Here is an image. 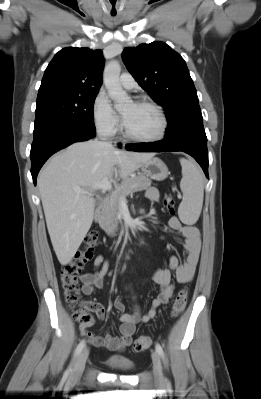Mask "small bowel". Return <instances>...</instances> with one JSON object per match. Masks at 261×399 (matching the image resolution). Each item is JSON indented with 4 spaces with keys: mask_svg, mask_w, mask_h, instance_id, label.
Here are the masks:
<instances>
[{
    "mask_svg": "<svg viewBox=\"0 0 261 399\" xmlns=\"http://www.w3.org/2000/svg\"><path fill=\"white\" fill-rule=\"evenodd\" d=\"M145 196L151 201L159 199L158 191L154 187L147 188ZM169 226L185 238L184 248L187 254L183 263H180L176 256H172L169 259L168 269H159L153 274L152 281L160 287V292L157 298L152 301L151 307L146 313H141L140 306L137 303H134L132 313H126L123 300L120 297L116 298L113 306L115 310L121 313L120 336H113L108 333L104 336H99L83 328L82 334L87 336L92 345L104 347L114 352L125 350L132 342L136 324L152 320L156 315V309L166 304L173 296L174 285L172 278L174 277L177 282L182 284L192 280L201 253L200 231L195 226L182 224L176 216L169 219ZM93 266V272H87L81 276L82 292L85 295H90L96 288L103 286L104 277L109 269V261L99 254L94 258ZM128 289H131V287L128 286ZM88 304L98 318L103 319L105 317V309L99 303L89 302Z\"/></svg>",
    "mask_w": 261,
    "mask_h": 399,
    "instance_id": "obj_1",
    "label": "small bowel"
}]
</instances>
